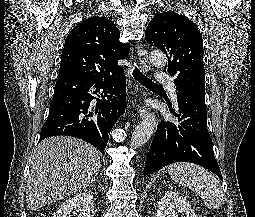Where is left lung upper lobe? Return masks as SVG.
Masks as SVG:
<instances>
[{
  "label": "left lung upper lobe",
  "instance_id": "obj_1",
  "mask_svg": "<svg viewBox=\"0 0 255 217\" xmlns=\"http://www.w3.org/2000/svg\"><path fill=\"white\" fill-rule=\"evenodd\" d=\"M148 44L168 57V72L176 89L204 98L203 40L197 26L175 12L155 14L145 32Z\"/></svg>",
  "mask_w": 255,
  "mask_h": 217
}]
</instances>
